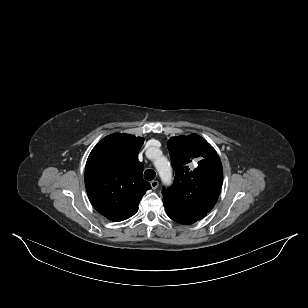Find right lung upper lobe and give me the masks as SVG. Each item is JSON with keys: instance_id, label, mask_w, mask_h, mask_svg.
<instances>
[{"instance_id": "1", "label": "right lung upper lobe", "mask_w": 308, "mask_h": 308, "mask_svg": "<svg viewBox=\"0 0 308 308\" xmlns=\"http://www.w3.org/2000/svg\"><path fill=\"white\" fill-rule=\"evenodd\" d=\"M144 138L116 133L102 139L91 151L85 168V186L92 206L111 221L133 216L151 188L142 178L138 152Z\"/></svg>"}]
</instances>
